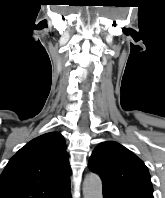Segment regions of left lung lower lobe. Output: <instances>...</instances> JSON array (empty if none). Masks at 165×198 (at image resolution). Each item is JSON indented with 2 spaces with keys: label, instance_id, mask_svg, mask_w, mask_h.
<instances>
[{
  "label": "left lung lower lobe",
  "instance_id": "left-lung-lower-lobe-1",
  "mask_svg": "<svg viewBox=\"0 0 165 198\" xmlns=\"http://www.w3.org/2000/svg\"><path fill=\"white\" fill-rule=\"evenodd\" d=\"M103 198H127V197L109 187L103 186Z\"/></svg>",
  "mask_w": 165,
  "mask_h": 198
}]
</instances>
